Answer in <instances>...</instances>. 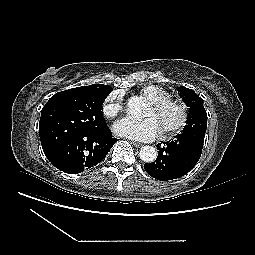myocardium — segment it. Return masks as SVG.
Listing matches in <instances>:
<instances>
[{"label": "myocardium", "mask_w": 255, "mask_h": 255, "mask_svg": "<svg viewBox=\"0 0 255 255\" xmlns=\"http://www.w3.org/2000/svg\"><path fill=\"white\" fill-rule=\"evenodd\" d=\"M155 111L162 113L168 108H174L179 113V118L176 123L167 126L163 129V136L170 137L181 132L188 124L190 118L189 107L180 99L167 97L165 99L151 102Z\"/></svg>", "instance_id": "f54148a6"}]
</instances>
